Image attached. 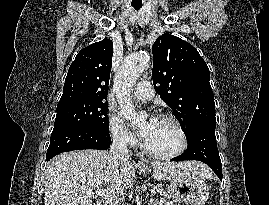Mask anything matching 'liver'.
<instances>
[{
    "label": "liver",
    "mask_w": 269,
    "mask_h": 205,
    "mask_svg": "<svg viewBox=\"0 0 269 205\" xmlns=\"http://www.w3.org/2000/svg\"><path fill=\"white\" fill-rule=\"evenodd\" d=\"M150 172L156 180H169V174L184 169L205 177L212 173L202 163L151 162ZM133 164L115 159L108 151L79 150L60 154L48 164L45 178L44 205H93L92 194L105 187L116 200L134 184Z\"/></svg>",
    "instance_id": "obj_1"
}]
</instances>
